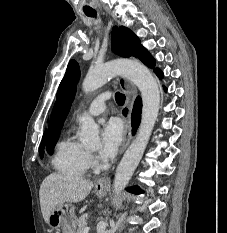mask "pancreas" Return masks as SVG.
Segmentation results:
<instances>
[{"instance_id":"pancreas-1","label":"pancreas","mask_w":227,"mask_h":233,"mask_svg":"<svg viewBox=\"0 0 227 233\" xmlns=\"http://www.w3.org/2000/svg\"><path fill=\"white\" fill-rule=\"evenodd\" d=\"M87 227V221L85 216H81L77 220V230L76 233H84V229Z\"/></svg>"}]
</instances>
